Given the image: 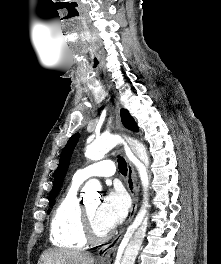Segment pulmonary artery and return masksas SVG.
I'll return each mask as SVG.
<instances>
[{
	"label": "pulmonary artery",
	"instance_id": "e3ab8cb5",
	"mask_svg": "<svg viewBox=\"0 0 221 264\" xmlns=\"http://www.w3.org/2000/svg\"><path fill=\"white\" fill-rule=\"evenodd\" d=\"M115 170V164L112 160H101L77 170L73 176V181L81 184L93 177H111L115 174Z\"/></svg>",
	"mask_w": 221,
	"mask_h": 264
}]
</instances>
